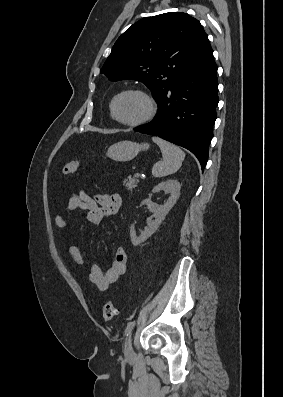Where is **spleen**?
Here are the masks:
<instances>
[{"mask_svg":"<svg viewBox=\"0 0 283 397\" xmlns=\"http://www.w3.org/2000/svg\"><path fill=\"white\" fill-rule=\"evenodd\" d=\"M152 141L160 147L163 156V160L153 166V176L160 178L177 172L185 158V153L178 146L161 138L153 137Z\"/></svg>","mask_w":283,"mask_h":397,"instance_id":"1","label":"spleen"}]
</instances>
